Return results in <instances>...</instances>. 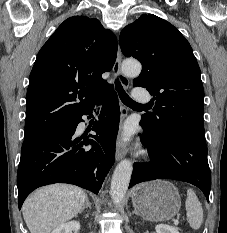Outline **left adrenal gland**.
<instances>
[{
	"label": "left adrenal gland",
	"mask_w": 227,
	"mask_h": 233,
	"mask_svg": "<svg viewBox=\"0 0 227 233\" xmlns=\"http://www.w3.org/2000/svg\"><path fill=\"white\" fill-rule=\"evenodd\" d=\"M133 214L139 215V213L137 212V210L135 209L133 212Z\"/></svg>",
	"instance_id": "1"
}]
</instances>
